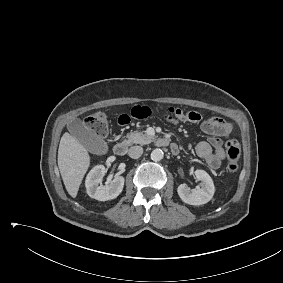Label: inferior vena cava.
<instances>
[{"label":"inferior vena cava","mask_w":283,"mask_h":283,"mask_svg":"<svg viewBox=\"0 0 283 283\" xmlns=\"http://www.w3.org/2000/svg\"><path fill=\"white\" fill-rule=\"evenodd\" d=\"M143 154V148L141 146H133L129 149L128 155L133 158H139Z\"/></svg>","instance_id":"inferior-vena-cava-1"}]
</instances>
